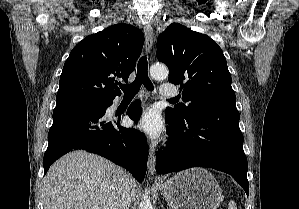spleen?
<instances>
[{
  "label": "spleen",
  "mask_w": 299,
  "mask_h": 209,
  "mask_svg": "<svg viewBox=\"0 0 299 209\" xmlns=\"http://www.w3.org/2000/svg\"><path fill=\"white\" fill-rule=\"evenodd\" d=\"M228 209H237L236 204L233 201L229 202Z\"/></svg>",
  "instance_id": "obj_1"
}]
</instances>
